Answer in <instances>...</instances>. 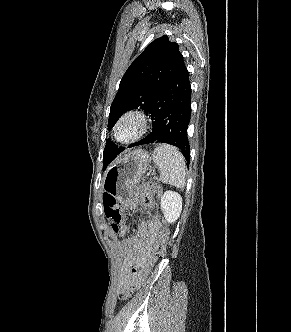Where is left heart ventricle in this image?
<instances>
[{"mask_svg":"<svg viewBox=\"0 0 291 332\" xmlns=\"http://www.w3.org/2000/svg\"><path fill=\"white\" fill-rule=\"evenodd\" d=\"M138 124L135 120L124 121L118 129V138L126 140L134 136L137 132Z\"/></svg>","mask_w":291,"mask_h":332,"instance_id":"b2bd125f","label":"left heart ventricle"}]
</instances>
